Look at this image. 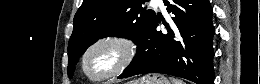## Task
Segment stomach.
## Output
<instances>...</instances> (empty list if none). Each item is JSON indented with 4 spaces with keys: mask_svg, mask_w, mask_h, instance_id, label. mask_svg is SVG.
<instances>
[{
    "mask_svg": "<svg viewBox=\"0 0 260 84\" xmlns=\"http://www.w3.org/2000/svg\"><path fill=\"white\" fill-rule=\"evenodd\" d=\"M126 84H170L169 80L161 74H147Z\"/></svg>",
    "mask_w": 260,
    "mask_h": 84,
    "instance_id": "0dacf381",
    "label": "stomach"
}]
</instances>
